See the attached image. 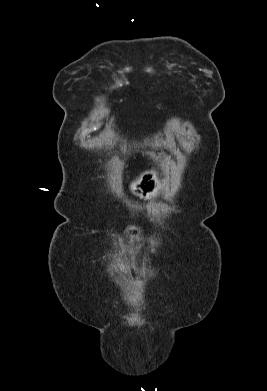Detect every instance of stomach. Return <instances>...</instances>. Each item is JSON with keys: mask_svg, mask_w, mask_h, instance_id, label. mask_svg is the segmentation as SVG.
Masks as SVG:
<instances>
[{"mask_svg": "<svg viewBox=\"0 0 267 391\" xmlns=\"http://www.w3.org/2000/svg\"><path fill=\"white\" fill-rule=\"evenodd\" d=\"M164 180L155 170H146L136 177L130 184L129 189L132 195L140 199L148 200L156 197L163 191Z\"/></svg>", "mask_w": 267, "mask_h": 391, "instance_id": "stomach-1", "label": "stomach"}]
</instances>
